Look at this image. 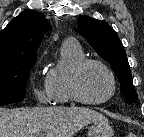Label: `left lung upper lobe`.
<instances>
[{
  "label": "left lung upper lobe",
  "instance_id": "5c2ea615",
  "mask_svg": "<svg viewBox=\"0 0 144 137\" xmlns=\"http://www.w3.org/2000/svg\"><path fill=\"white\" fill-rule=\"evenodd\" d=\"M78 29L95 51L112 64L126 102L136 103L138 96L133 86L130 66L116 32L108 23L89 16L78 18Z\"/></svg>",
  "mask_w": 144,
  "mask_h": 137
}]
</instances>
